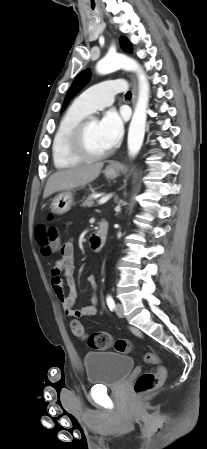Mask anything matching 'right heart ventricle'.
<instances>
[{
    "mask_svg": "<svg viewBox=\"0 0 207 449\" xmlns=\"http://www.w3.org/2000/svg\"><path fill=\"white\" fill-rule=\"evenodd\" d=\"M89 114V112L80 108L74 102L63 115L52 142V158L56 168H70L83 161L70 153L68 138L75 125L87 118Z\"/></svg>",
    "mask_w": 207,
    "mask_h": 449,
    "instance_id": "obj_1",
    "label": "right heart ventricle"
}]
</instances>
